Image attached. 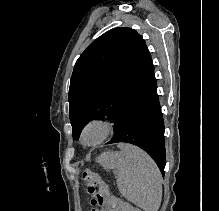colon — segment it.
Listing matches in <instances>:
<instances>
[{
  "label": "colon",
  "mask_w": 219,
  "mask_h": 211,
  "mask_svg": "<svg viewBox=\"0 0 219 211\" xmlns=\"http://www.w3.org/2000/svg\"><path fill=\"white\" fill-rule=\"evenodd\" d=\"M83 179L86 185V192L92 197L90 200V211H97L96 206L99 201L108 202L113 211H141L139 208L113 196L97 171L92 169L85 170ZM97 188H99L100 194L95 197Z\"/></svg>",
  "instance_id": "obj_1"
}]
</instances>
